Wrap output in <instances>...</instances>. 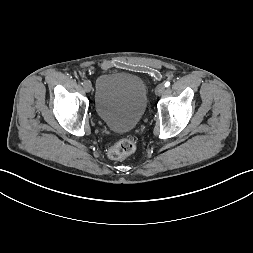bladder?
I'll return each mask as SVG.
<instances>
[{
  "label": "bladder",
  "instance_id": "bladder-1",
  "mask_svg": "<svg viewBox=\"0 0 253 253\" xmlns=\"http://www.w3.org/2000/svg\"><path fill=\"white\" fill-rule=\"evenodd\" d=\"M148 107L145 82L132 73L109 72L96 82L95 109L100 120L113 130L134 129Z\"/></svg>",
  "mask_w": 253,
  "mask_h": 253
}]
</instances>
